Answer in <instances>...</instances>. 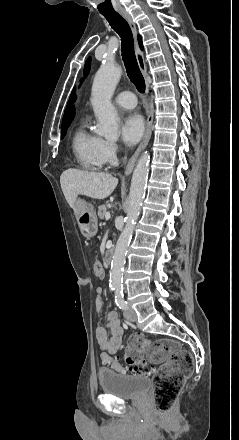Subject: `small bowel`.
I'll use <instances>...</instances> for the list:
<instances>
[{"label":"small bowel","mask_w":239,"mask_h":440,"mask_svg":"<svg viewBox=\"0 0 239 440\" xmlns=\"http://www.w3.org/2000/svg\"><path fill=\"white\" fill-rule=\"evenodd\" d=\"M102 287L96 288L95 308L99 317V322L96 328V339L101 350L100 359L103 364L113 368L112 362L114 359L111 355L115 354L122 343L123 329L116 312H110L105 322L102 319L101 311L103 306ZM115 370V369H114Z\"/></svg>","instance_id":"obj_1"}]
</instances>
